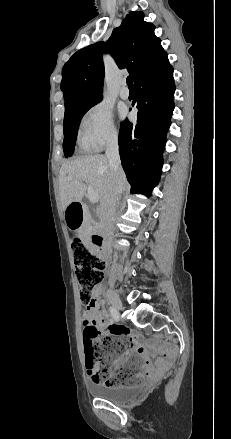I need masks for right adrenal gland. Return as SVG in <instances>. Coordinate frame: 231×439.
<instances>
[{
  "label": "right adrenal gland",
  "instance_id": "2a0ac1e0",
  "mask_svg": "<svg viewBox=\"0 0 231 439\" xmlns=\"http://www.w3.org/2000/svg\"><path fill=\"white\" fill-rule=\"evenodd\" d=\"M121 199V196L118 197V201Z\"/></svg>",
  "mask_w": 231,
  "mask_h": 439
}]
</instances>
